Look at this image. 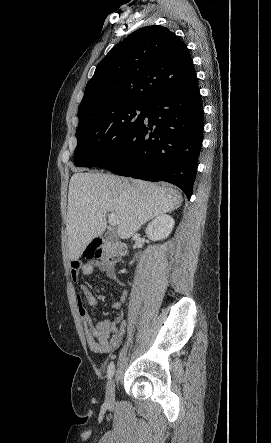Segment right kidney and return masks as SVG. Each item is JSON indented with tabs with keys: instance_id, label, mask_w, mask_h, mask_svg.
Returning a JSON list of instances; mask_svg holds the SVG:
<instances>
[{
	"instance_id": "1",
	"label": "right kidney",
	"mask_w": 271,
	"mask_h": 443,
	"mask_svg": "<svg viewBox=\"0 0 271 443\" xmlns=\"http://www.w3.org/2000/svg\"><path fill=\"white\" fill-rule=\"evenodd\" d=\"M173 227V218H171V216H168V214H161V216H157L155 220H152V222L148 223L145 231L149 239L157 241V239H165V237H168ZM130 263H132V261H130Z\"/></svg>"
}]
</instances>
